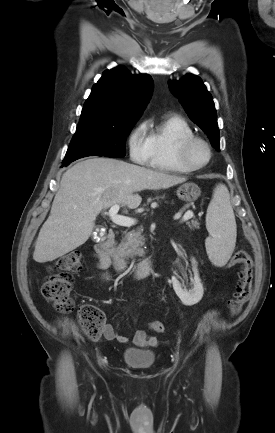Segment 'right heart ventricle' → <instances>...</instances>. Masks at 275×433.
Returning <instances> with one entry per match:
<instances>
[{
    "instance_id": "e07e8e85",
    "label": "right heart ventricle",
    "mask_w": 275,
    "mask_h": 433,
    "mask_svg": "<svg viewBox=\"0 0 275 433\" xmlns=\"http://www.w3.org/2000/svg\"><path fill=\"white\" fill-rule=\"evenodd\" d=\"M149 159L147 164L158 170L188 173L178 160L180 142L194 135L190 124L181 116L168 114L147 128Z\"/></svg>"
}]
</instances>
